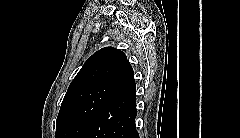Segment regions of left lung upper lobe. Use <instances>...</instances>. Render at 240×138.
<instances>
[{"label":"left lung upper lobe","instance_id":"5c2ea615","mask_svg":"<svg viewBox=\"0 0 240 138\" xmlns=\"http://www.w3.org/2000/svg\"><path fill=\"white\" fill-rule=\"evenodd\" d=\"M131 69L126 55L113 47L102 48L89 57L63 99L56 138H82Z\"/></svg>","mask_w":240,"mask_h":138}]
</instances>
